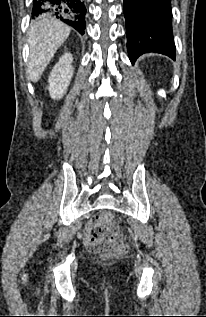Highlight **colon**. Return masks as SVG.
Here are the masks:
<instances>
[{"instance_id": "obj_1", "label": "colon", "mask_w": 206, "mask_h": 317, "mask_svg": "<svg viewBox=\"0 0 206 317\" xmlns=\"http://www.w3.org/2000/svg\"><path fill=\"white\" fill-rule=\"evenodd\" d=\"M97 218L105 223H111L113 220L110 212H104ZM86 244L90 251L103 257L121 256L128 251L127 243L124 241H115L113 235L107 231L94 230Z\"/></svg>"}]
</instances>
